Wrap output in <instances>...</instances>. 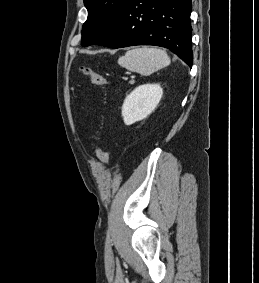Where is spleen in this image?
Instances as JSON below:
<instances>
[{
  "label": "spleen",
  "mask_w": 259,
  "mask_h": 283,
  "mask_svg": "<svg viewBox=\"0 0 259 283\" xmlns=\"http://www.w3.org/2000/svg\"><path fill=\"white\" fill-rule=\"evenodd\" d=\"M118 64L127 70L149 76L168 66L170 59L167 53L154 47H137L129 50L118 59Z\"/></svg>",
  "instance_id": "spleen-1"
}]
</instances>
